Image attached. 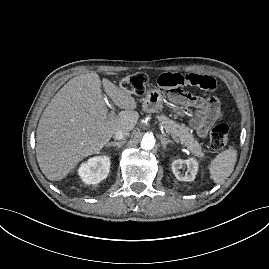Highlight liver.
I'll use <instances>...</instances> for the list:
<instances>
[{"label": "liver", "mask_w": 269, "mask_h": 269, "mask_svg": "<svg viewBox=\"0 0 269 269\" xmlns=\"http://www.w3.org/2000/svg\"><path fill=\"white\" fill-rule=\"evenodd\" d=\"M106 95L124 109L117 116L108 113ZM136 108L128 92L95 72L69 80L38 123L36 157L42 173L50 181L63 179L84 158L99 153L116 131L132 130L139 119Z\"/></svg>", "instance_id": "6515ba94"}]
</instances>
